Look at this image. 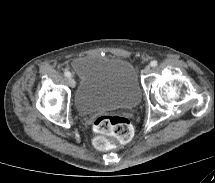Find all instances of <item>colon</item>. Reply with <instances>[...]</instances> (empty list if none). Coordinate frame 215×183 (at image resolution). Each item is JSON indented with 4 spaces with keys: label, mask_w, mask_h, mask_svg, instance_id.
Returning a JSON list of instances; mask_svg holds the SVG:
<instances>
[{
    "label": "colon",
    "mask_w": 215,
    "mask_h": 183,
    "mask_svg": "<svg viewBox=\"0 0 215 183\" xmlns=\"http://www.w3.org/2000/svg\"><path fill=\"white\" fill-rule=\"evenodd\" d=\"M93 129L96 133L93 144L98 150L111 147L108 136H113L122 143H128L133 137L132 125L121 116L101 115L94 120Z\"/></svg>",
    "instance_id": "1"
}]
</instances>
